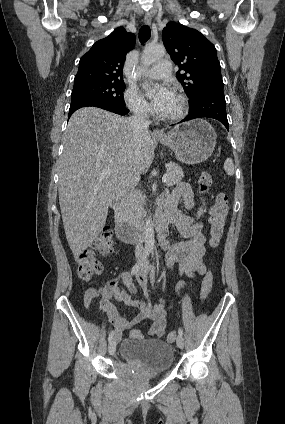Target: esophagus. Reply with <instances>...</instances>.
<instances>
[{"label":"esophagus","mask_w":285,"mask_h":424,"mask_svg":"<svg viewBox=\"0 0 285 424\" xmlns=\"http://www.w3.org/2000/svg\"><path fill=\"white\" fill-rule=\"evenodd\" d=\"M144 22H145L146 25H150L151 24V22H152L151 14H149V13L145 14ZM152 136H154V137H161L162 136V132L159 131L158 129H155L152 132Z\"/></svg>","instance_id":"1"}]
</instances>
